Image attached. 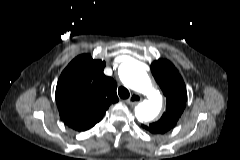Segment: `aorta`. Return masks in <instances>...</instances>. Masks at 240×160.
I'll list each match as a JSON object with an SVG mask.
<instances>
[{"mask_svg": "<svg viewBox=\"0 0 240 160\" xmlns=\"http://www.w3.org/2000/svg\"><path fill=\"white\" fill-rule=\"evenodd\" d=\"M119 77L127 87L144 96V100L135 108L137 119L148 122L156 118L162 108L163 98L143 68L134 62H124L119 67Z\"/></svg>", "mask_w": 240, "mask_h": 160, "instance_id": "aorta-1", "label": "aorta"}]
</instances>
